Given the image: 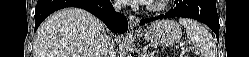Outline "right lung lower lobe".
<instances>
[{
    "mask_svg": "<svg viewBox=\"0 0 249 57\" xmlns=\"http://www.w3.org/2000/svg\"><path fill=\"white\" fill-rule=\"evenodd\" d=\"M65 7H78L91 12L115 33H125L128 29L126 17L123 14L116 15L109 0H38L35 30L48 15Z\"/></svg>",
    "mask_w": 249,
    "mask_h": 57,
    "instance_id": "right-lung-lower-lobe-1",
    "label": "right lung lower lobe"
}]
</instances>
